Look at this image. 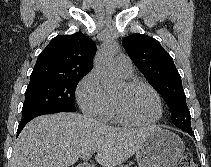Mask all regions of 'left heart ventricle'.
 <instances>
[{
	"label": "left heart ventricle",
	"instance_id": "obj_1",
	"mask_svg": "<svg viewBox=\"0 0 211 167\" xmlns=\"http://www.w3.org/2000/svg\"><path fill=\"white\" fill-rule=\"evenodd\" d=\"M113 98L127 115L139 122H150L158 115L157 100L147 88L128 89L123 84Z\"/></svg>",
	"mask_w": 211,
	"mask_h": 167
}]
</instances>
